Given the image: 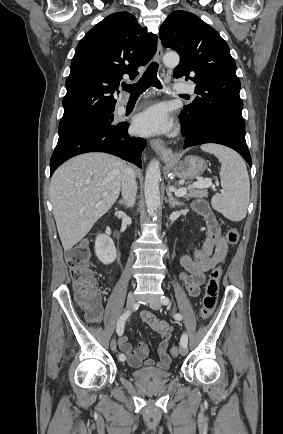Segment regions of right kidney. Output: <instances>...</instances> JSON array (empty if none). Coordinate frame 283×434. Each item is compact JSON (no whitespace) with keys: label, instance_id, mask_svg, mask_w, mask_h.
Wrapping results in <instances>:
<instances>
[{"label":"right kidney","instance_id":"obj_1","mask_svg":"<svg viewBox=\"0 0 283 434\" xmlns=\"http://www.w3.org/2000/svg\"><path fill=\"white\" fill-rule=\"evenodd\" d=\"M95 253L103 264L113 263L117 255L113 240L108 235H98L95 240Z\"/></svg>","mask_w":283,"mask_h":434}]
</instances>
